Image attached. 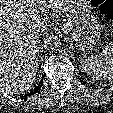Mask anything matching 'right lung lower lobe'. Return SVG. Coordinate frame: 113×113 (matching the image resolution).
I'll return each mask as SVG.
<instances>
[{
	"mask_svg": "<svg viewBox=\"0 0 113 113\" xmlns=\"http://www.w3.org/2000/svg\"><path fill=\"white\" fill-rule=\"evenodd\" d=\"M43 80H41L40 81V83H39V85L31 92V93H29V95H33V94H35L36 92H38V90L41 88V86H42V82Z\"/></svg>",
	"mask_w": 113,
	"mask_h": 113,
	"instance_id": "1",
	"label": "right lung lower lobe"
}]
</instances>
